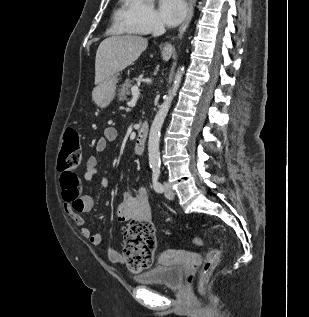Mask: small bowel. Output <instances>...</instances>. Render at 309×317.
<instances>
[{
    "label": "small bowel",
    "instance_id": "1",
    "mask_svg": "<svg viewBox=\"0 0 309 317\" xmlns=\"http://www.w3.org/2000/svg\"><path fill=\"white\" fill-rule=\"evenodd\" d=\"M117 136L118 133L114 127L105 128L103 135L96 141L95 150L97 152H103L109 143L117 139ZM99 173L97 157L95 155L89 156L84 171L85 181H92ZM102 182H107L105 177H103ZM61 187L66 214L80 227L82 237L87 239L92 245L100 246L103 242L101 233H94L92 229L87 226L84 217V214L90 212L94 206L92 195L82 191L80 180L74 172L67 174L66 184L61 182ZM116 217L120 222L139 219L150 221L151 207L145 186L138 185L135 195H124L123 200L116 208ZM103 251L110 262L114 264H123L125 262V256L111 247L105 246Z\"/></svg>",
    "mask_w": 309,
    "mask_h": 317
}]
</instances>
